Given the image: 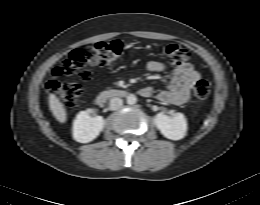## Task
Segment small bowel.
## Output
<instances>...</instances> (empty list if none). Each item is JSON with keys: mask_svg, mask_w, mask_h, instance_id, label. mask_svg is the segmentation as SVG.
Here are the masks:
<instances>
[{"mask_svg": "<svg viewBox=\"0 0 260 205\" xmlns=\"http://www.w3.org/2000/svg\"><path fill=\"white\" fill-rule=\"evenodd\" d=\"M166 69V65L160 61H150L147 64V70L152 73H163ZM200 78L199 72L194 69L192 64L181 63L173 69L167 86L157 92V99L167 105H183L189 101L191 91ZM152 93L151 87H144L140 90L143 97H149Z\"/></svg>", "mask_w": 260, "mask_h": 205, "instance_id": "obj_1", "label": "small bowel"}]
</instances>
